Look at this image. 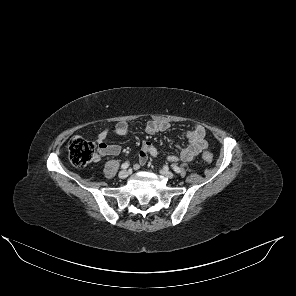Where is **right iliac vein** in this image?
Masks as SVG:
<instances>
[{
	"mask_svg": "<svg viewBox=\"0 0 296 296\" xmlns=\"http://www.w3.org/2000/svg\"><path fill=\"white\" fill-rule=\"evenodd\" d=\"M128 176V171L127 170H122L119 172V178L125 179Z\"/></svg>",
	"mask_w": 296,
	"mask_h": 296,
	"instance_id": "1",
	"label": "right iliac vein"
}]
</instances>
